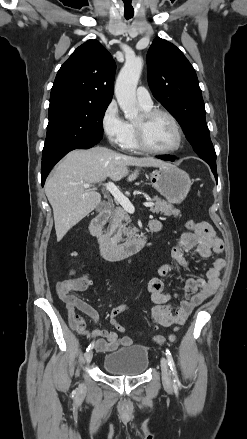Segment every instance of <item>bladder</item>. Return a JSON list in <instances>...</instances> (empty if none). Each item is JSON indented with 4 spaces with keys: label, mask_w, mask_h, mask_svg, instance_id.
Segmentation results:
<instances>
[{
    "label": "bladder",
    "mask_w": 247,
    "mask_h": 439,
    "mask_svg": "<svg viewBox=\"0 0 247 439\" xmlns=\"http://www.w3.org/2000/svg\"><path fill=\"white\" fill-rule=\"evenodd\" d=\"M149 365L148 349L142 345H130L107 354L103 359V369L116 376H138Z\"/></svg>",
    "instance_id": "31cf9c89"
}]
</instances>
